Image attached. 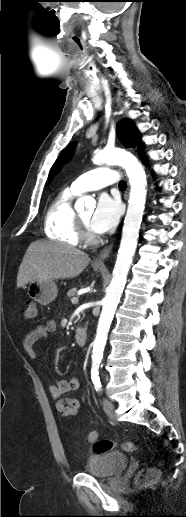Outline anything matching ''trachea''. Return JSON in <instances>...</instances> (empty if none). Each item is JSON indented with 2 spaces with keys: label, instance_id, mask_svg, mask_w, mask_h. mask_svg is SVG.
Masks as SVG:
<instances>
[{
  "label": "trachea",
  "instance_id": "trachea-1",
  "mask_svg": "<svg viewBox=\"0 0 186 517\" xmlns=\"http://www.w3.org/2000/svg\"><path fill=\"white\" fill-rule=\"evenodd\" d=\"M126 186H127V184H126V182H125V181H120V182H119V188H121V189H125V188H126Z\"/></svg>",
  "mask_w": 186,
  "mask_h": 517
}]
</instances>
